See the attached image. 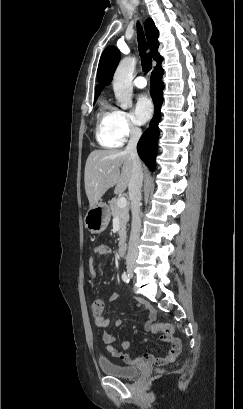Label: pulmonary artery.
<instances>
[{
	"label": "pulmonary artery",
	"mask_w": 243,
	"mask_h": 409,
	"mask_svg": "<svg viewBox=\"0 0 243 409\" xmlns=\"http://www.w3.org/2000/svg\"><path fill=\"white\" fill-rule=\"evenodd\" d=\"M134 86L139 88V89L145 88L147 86V81H146L145 77L142 76V75L136 77L135 80H134Z\"/></svg>",
	"instance_id": "pulmonary-artery-1"
}]
</instances>
